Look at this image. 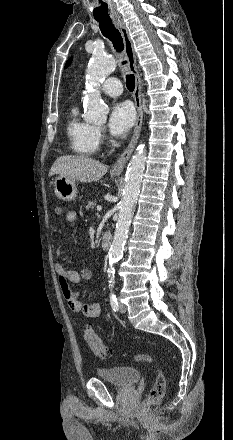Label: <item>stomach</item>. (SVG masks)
Wrapping results in <instances>:
<instances>
[{
    "label": "stomach",
    "instance_id": "1",
    "mask_svg": "<svg viewBox=\"0 0 233 440\" xmlns=\"http://www.w3.org/2000/svg\"><path fill=\"white\" fill-rule=\"evenodd\" d=\"M55 195L63 201H73L77 197V187L74 179L59 175L54 181Z\"/></svg>",
    "mask_w": 233,
    "mask_h": 440
}]
</instances>
